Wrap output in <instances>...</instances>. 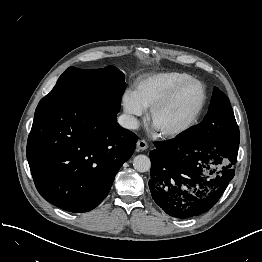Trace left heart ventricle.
<instances>
[{
	"label": "left heart ventricle",
	"instance_id": "1",
	"mask_svg": "<svg viewBox=\"0 0 262 262\" xmlns=\"http://www.w3.org/2000/svg\"><path fill=\"white\" fill-rule=\"evenodd\" d=\"M202 88L198 84L184 87L175 98L153 119L157 131L171 130L185 124L197 110L202 99Z\"/></svg>",
	"mask_w": 262,
	"mask_h": 262
}]
</instances>
